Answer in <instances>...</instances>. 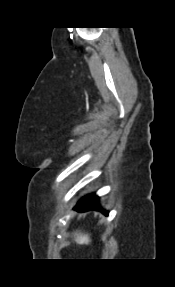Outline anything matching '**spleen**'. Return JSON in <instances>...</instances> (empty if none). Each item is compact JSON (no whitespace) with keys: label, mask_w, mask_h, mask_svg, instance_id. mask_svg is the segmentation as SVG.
<instances>
[{"label":"spleen","mask_w":175,"mask_h":287,"mask_svg":"<svg viewBox=\"0 0 175 287\" xmlns=\"http://www.w3.org/2000/svg\"><path fill=\"white\" fill-rule=\"evenodd\" d=\"M75 241H76L78 244H89V242H90V237H89L88 234L78 233V234H76Z\"/></svg>","instance_id":"3e777b00"}]
</instances>
